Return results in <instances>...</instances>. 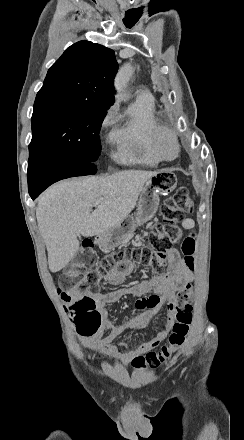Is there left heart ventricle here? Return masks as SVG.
Here are the masks:
<instances>
[{"label":"left heart ventricle","mask_w":244,"mask_h":440,"mask_svg":"<svg viewBox=\"0 0 244 440\" xmlns=\"http://www.w3.org/2000/svg\"><path fill=\"white\" fill-rule=\"evenodd\" d=\"M163 146H164V148H165L166 150H170V148H171V143H170L169 141H165V142L163 143Z\"/></svg>","instance_id":"1"}]
</instances>
